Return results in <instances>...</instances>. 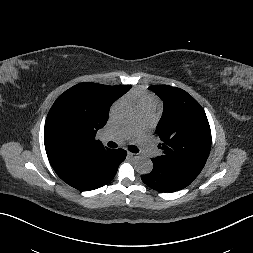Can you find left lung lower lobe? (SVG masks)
Instances as JSON below:
<instances>
[{"mask_svg": "<svg viewBox=\"0 0 253 253\" xmlns=\"http://www.w3.org/2000/svg\"><path fill=\"white\" fill-rule=\"evenodd\" d=\"M154 167L150 174L143 175L142 181L159 192H174L181 190L198 176L187 170L151 159Z\"/></svg>", "mask_w": 253, "mask_h": 253, "instance_id": "obj_1", "label": "left lung lower lobe"}]
</instances>
